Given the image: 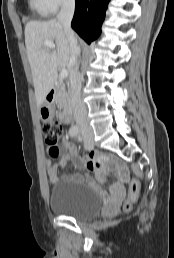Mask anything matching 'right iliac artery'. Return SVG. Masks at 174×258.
I'll return each mask as SVG.
<instances>
[{
	"mask_svg": "<svg viewBox=\"0 0 174 258\" xmlns=\"http://www.w3.org/2000/svg\"><path fill=\"white\" fill-rule=\"evenodd\" d=\"M77 133H78V130H77V129H75V128L70 129V131H69V134H70V136H72V137L76 136V135H77Z\"/></svg>",
	"mask_w": 174,
	"mask_h": 258,
	"instance_id": "obj_1",
	"label": "right iliac artery"
}]
</instances>
